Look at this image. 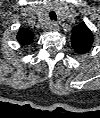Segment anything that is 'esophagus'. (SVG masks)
Instances as JSON below:
<instances>
[{"instance_id":"1","label":"esophagus","mask_w":100,"mask_h":118,"mask_svg":"<svg viewBox=\"0 0 100 118\" xmlns=\"http://www.w3.org/2000/svg\"><path fill=\"white\" fill-rule=\"evenodd\" d=\"M49 29L52 30V31H57L59 29V26L57 23H51L49 25Z\"/></svg>"}]
</instances>
